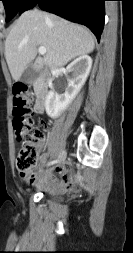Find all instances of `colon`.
Returning <instances> with one entry per match:
<instances>
[{
    "label": "colon",
    "instance_id": "5ec220e1",
    "mask_svg": "<svg viewBox=\"0 0 133 253\" xmlns=\"http://www.w3.org/2000/svg\"><path fill=\"white\" fill-rule=\"evenodd\" d=\"M13 129L16 140L22 143L16 165L20 172L33 169L39 156V144L43 140V131L34 125L29 106L31 96L27 86L14 88Z\"/></svg>",
    "mask_w": 133,
    "mask_h": 253
}]
</instances>
